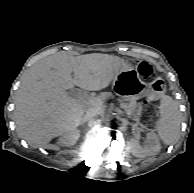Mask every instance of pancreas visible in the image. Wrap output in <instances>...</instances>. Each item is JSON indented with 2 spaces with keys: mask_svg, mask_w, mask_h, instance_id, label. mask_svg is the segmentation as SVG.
I'll use <instances>...</instances> for the list:
<instances>
[{
  "mask_svg": "<svg viewBox=\"0 0 194 193\" xmlns=\"http://www.w3.org/2000/svg\"><path fill=\"white\" fill-rule=\"evenodd\" d=\"M118 107H120L124 112L126 113H134V111H137L139 109V105L136 104L133 101L127 102L126 99H123V102L121 105H119Z\"/></svg>",
  "mask_w": 194,
  "mask_h": 193,
  "instance_id": "cf45deb5",
  "label": "pancreas"
}]
</instances>
